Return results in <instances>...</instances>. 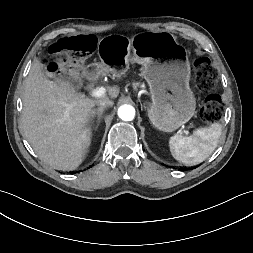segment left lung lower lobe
I'll return each instance as SVG.
<instances>
[{"instance_id": "0a47b994", "label": "left lung lower lobe", "mask_w": 253, "mask_h": 253, "mask_svg": "<svg viewBox=\"0 0 253 253\" xmlns=\"http://www.w3.org/2000/svg\"><path fill=\"white\" fill-rule=\"evenodd\" d=\"M180 171H185V170H187L186 168H180L179 169Z\"/></svg>"}]
</instances>
